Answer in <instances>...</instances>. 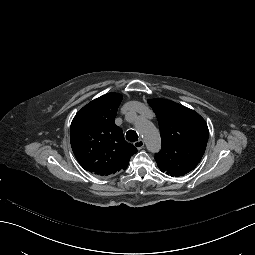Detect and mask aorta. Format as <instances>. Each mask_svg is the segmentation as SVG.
Returning <instances> with one entry per match:
<instances>
[{
  "label": "aorta",
  "mask_w": 255,
  "mask_h": 255,
  "mask_svg": "<svg viewBox=\"0 0 255 255\" xmlns=\"http://www.w3.org/2000/svg\"><path fill=\"white\" fill-rule=\"evenodd\" d=\"M136 128L141 133L147 149L151 152H157L161 147V139L158 129L153 123L147 120H137Z\"/></svg>",
  "instance_id": "1"
}]
</instances>
